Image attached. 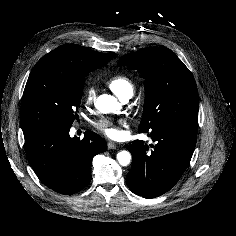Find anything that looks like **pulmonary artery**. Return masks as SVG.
<instances>
[{"label":"pulmonary artery","mask_w":236,"mask_h":236,"mask_svg":"<svg viewBox=\"0 0 236 236\" xmlns=\"http://www.w3.org/2000/svg\"><path fill=\"white\" fill-rule=\"evenodd\" d=\"M131 96H125L121 98L122 102H127Z\"/></svg>","instance_id":"obj_1"}]
</instances>
